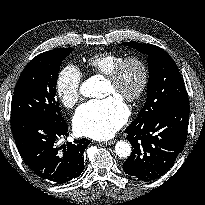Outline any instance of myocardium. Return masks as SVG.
Masks as SVG:
<instances>
[{
  "instance_id": "1",
  "label": "myocardium",
  "mask_w": 205,
  "mask_h": 205,
  "mask_svg": "<svg viewBox=\"0 0 205 205\" xmlns=\"http://www.w3.org/2000/svg\"><path fill=\"white\" fill-rule=\"evenodd\" d=\"M130 63H135L140 67L141 70V80L137 90L127 95L123 98L124 101L128 103H135L139 101L144 93L147 90L148 83H149V67L147 62L141 58L140 56L132 55L128 57H124L115 67L114 69L106 75V80L113 86H117L122 79L124 70L127 65Z\"/></svg>"
}]
</instances>
